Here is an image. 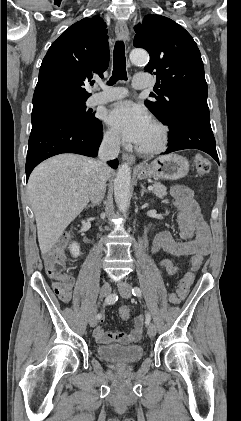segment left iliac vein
<instances>
[{
    "label": "left iliac vein",
    "instance_id": "4c4485c4",
    "mask_svg": "<svg viewBox=\"0 0 241 421\" xmlns=\"http://www.w3.org/2000/svg\"><path fill=\"white\" fill-rule=\"evenodd\" d=\"M119 293L123 298L131 297V285L127 282H121L119 284ZM147 333L150 338H153L156 335V327L153 323H149L147 328Z\"/></svg>",
    "mask_w": 241,
    "mask_h": 421
}]
</instances>
